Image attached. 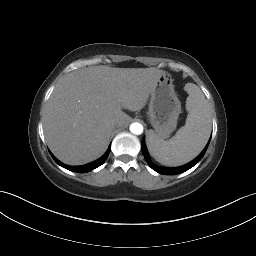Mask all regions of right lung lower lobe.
Segmentation results:
<instances>
[{"instance_id": "1", "label": "right lung lower lobe", "mask_w": 256, "mask_h": 256, "mask_svg": "<svg viewBox=\"0 0 256 256\" xmlns=\"http://www.w3.org/2000/svg\"><path fill=\"white\" fill-rule=\"evenodd\" d=\"M110 149H111V146H109L108 150L106 151V153L101 157L99 158L98 160L92 162V163H89V164H86V165H82V166H69V165H65L63 164L62 162H60L57 158H55L53 156V154L50 152L52 158L55 160V162L57 164H59L60 166L70 170V171H74V172H77V173H86V172H89L97 167H99L100 165H102L105 160L107 159L109 153H110Z\"/></svg>"}]
</instances>
